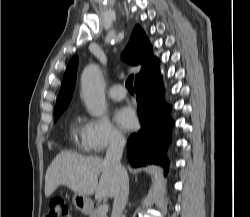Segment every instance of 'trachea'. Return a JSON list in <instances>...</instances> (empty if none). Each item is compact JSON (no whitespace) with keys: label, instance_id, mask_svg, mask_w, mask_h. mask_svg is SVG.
I'll return each instance as SVG.
<instances>
[{"label":"trachea","instance_id":"1","mask_svg":"<svg viewBox=\"0 0 250 217\" xmlns=\"http://www.w3.org/2000/svg\"><path fill=\"white\" fill-rule=\"evenodd\" d=\"M126 88L128 89L129 92H134L133 88V75H130L128 79L126 80Z\"/></svg>","mask_w":250,"mask_h":217}]
</instances>
